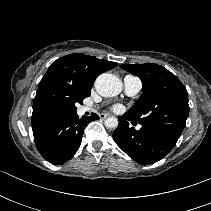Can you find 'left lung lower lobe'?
Masks as SVG:
<instances>
[{
	"label": "left lung lower lobe",
	"mask_w": 211,
	"mask_h": 211,
	"mask_svg": "<svg viewBox=\"0 0 211 211\" xmlns=\"http://www.w3.org/2000/svg\"><path fill=\"white\" fill-rule=\"evenodd\" d=\"M119 125L113 133L117 145L140 164H152L167 155L177 140L163 131L142 125L140 130L129 126L133 121L127 112L118 117Z\"/></svg>",
	"instance_id": "obj_1"
}]
</instances>
